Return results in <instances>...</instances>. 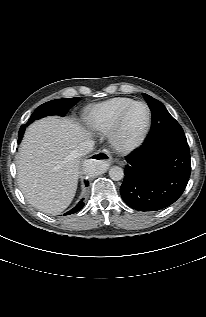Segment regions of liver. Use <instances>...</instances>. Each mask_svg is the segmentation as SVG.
I'll use <instances>...</instances> for the list:
<instances>
[{"label":"liver","instance_id":"obj_1","mask_svg":"<svg viewBox=\"0 0 206 317\" xmlns=\"http://www.w3.org/2000/svg\"><path fill=\"white\" fill-rule=\"evenodd\" d=\"M90 133L68 118L45 117L26 130L17 161L18 185L26 200L57 215L72 202L78 184L77 148Z\"/></svg>","mask_w":206,"mask_h":317}]
</instances>
